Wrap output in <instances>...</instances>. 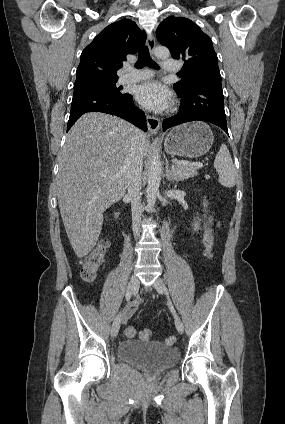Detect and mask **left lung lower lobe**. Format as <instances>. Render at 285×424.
<instances>
[{
  "label": "left lung lower lobe",
  "instance_id": "obj_1",
  "mask_svg": "<svg viewBox=\"0 0 285 424\" xmlns=\"http://www.w3.org/2000/svg\"><path fill=\"white\" fill-rule=\"evenodd\" d=\"M177 94L181 98L180 111L163 121V131L185 122L207 121L228 134L221 81L198 82Z\"/></svg>",
  "mask_w": 285,
  "mask_h": 424
}]
</instances>
